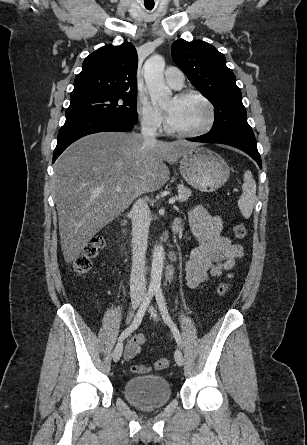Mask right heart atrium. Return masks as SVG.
Listing matches in <instances>:
<instances>
[{
  "mask_svg": "<svg viewBox=\"0 0 307 445\" xmlns=\"http://www.w3.org/2000/svg\"><path fill=\"white\" fill-rule=\"evenodd\" d=\"M141 125L150 134H157L163 128V116L161 112L146 98L139 97L136 104Z\"/></svg>",
  "mask_w": 307,
  "mask_h": 445,
  "instance_id": "right-heart-atrium-1",
  "label": "right heart atrium"
}]
</instances>
